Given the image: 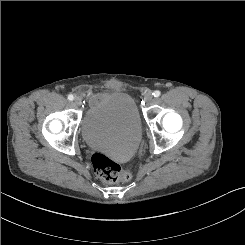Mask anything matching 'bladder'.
Listing matches in <instances>:
<instances>
[{
  "instance_id": "bladder-1",
  "label": "bladder",
  "mask_w": 245,
  "mask_h": 245,
  "mask_svg": "<svg viewBox=\"0 0 245 245\" xmlns=\"http://www.w3.org/2000/svg\"><path fill=\"white\" fill-rule=\"evenodd\" d=\"M81 135L90 148L115 157L134 154L142 137L141 118L134 99L120 91L100 95L82 119Z\"/></svg>"
}]
</instances>
